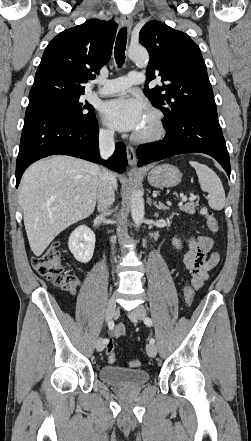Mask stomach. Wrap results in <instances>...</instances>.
Masks as SVG:
<instances>
[{
	"mask_svg": "<svg viewBox=\"0 0 251 441\" xmlns=\"http://www.w3.org/2000/svg\"><path fill=\"white\" fill-rule=\"evenodd\" d=\"M182 173L170 164H163L153 167L148 173V182L155 188H169L178 185Z\"/></svg>",
	"mask_w": 251,
	"mask_h": 441,
	"instance_id": "obj_1",
	"label": "stomach"
}]
</instances>
